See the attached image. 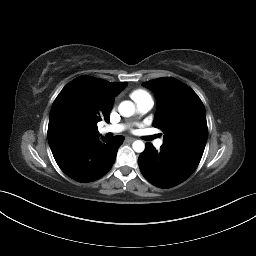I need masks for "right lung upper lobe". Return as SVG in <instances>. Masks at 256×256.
<instances>
[{"label":"right lung upper lobe","instance_id":"cb5924a9","mask_svg":"<svg viewBox=\"0 0 256 256\" xmlns=\"http://www.w3.org/2000/svg\"><path fill=\"white\" fill-rule=\"evenodd\" d=\"M127 84L92 76H80L68 83L50 112L47 136L51 150L72 140L97 136V122L109 121L114 97Z\"/></svg>","mask_w":256,"mask_h":256}]
</instances>
